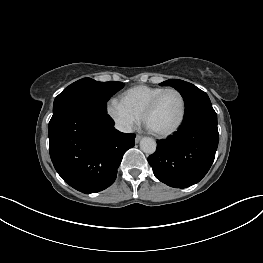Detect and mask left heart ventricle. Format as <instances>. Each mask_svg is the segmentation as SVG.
Returning <instances> with one entry per match:
<instances>
[{"label":"left heart ventricle","instance_id":"obj_1","mask_svg":"<svg viewBox=\"0 0 263 263\" xmlns=\"http://www.w3.org/2000/svg\"><path fill=\"white\" fill-rule=\"evenodd\" d=\"M181 99L175 92L166 93L148 117V126L155 131H165L173 127L181 114Z\"/></svg>","mask_w":263,"mask_h":263}]
</instances>
